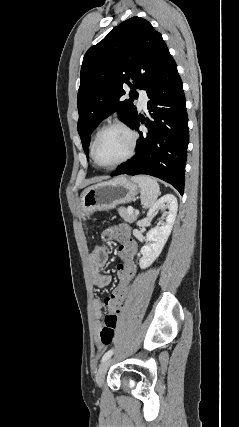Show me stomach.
I'll return each instance as SVG.
<instances>
[{"label": "stomach", "instance_id": "0dacf381", "mask_svg": "<svg viewBox=\"0 0 239 427\" xmlns=\"http://www.w3.org/2000/svg\"><path fill=\"white\" fill-rule=\"evenodd\" d=\"M138 186L120 176L85 189L81 195L82 211L90 216L95 211H107L119 204L131 202L138 194Z\"/></svg>", "mask_w": 239, "mask_h": 427}]
</instances>
